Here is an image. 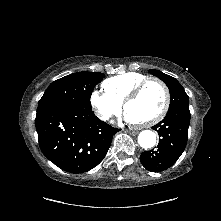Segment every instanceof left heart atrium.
<instances>
[{
    "instance_id": "left-heart-atrium-1",
    "label": "left heart atrium",
    "mask_w": 221,
    "mask_h": 221,
    "mask_svg": "<svg viewBox=\"0 0 221 221\" xmlns=\"http://www.w3.org/2000/svg\"><path fill=\"white\" fill-rule=\"evenodd\" d=\"M124 119L129 123H134L132 118L130 117V115L127 112L124 114Z\"/></svg>"
}]
</instances>
